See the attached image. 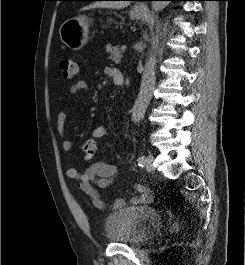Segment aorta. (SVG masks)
Listing matches in <instances>:
<instances>
[{"label": "aorta", "mask_w": 245, "mask_h": 265, "mask_svg": "<svg viewBox=\"0 0 245 265\" xmlns=\"http://www.w3.org/2000/svg\"><path fill=\"white\" fill-rule=\"evenodd\" d=\"M168 1H153L152 10L155 12L163 10ZM156 55L152 50L146 60L141 79L140 91L132 109V121L138 123L144 116L146 109L152 99L156 82Z\"/></svg>", "instance_id": "aorta-1"}]
</instances>
